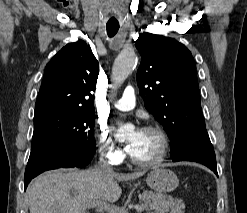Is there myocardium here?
Segmentation results:
<instances>
[{
  "mask_svg": "<svg viewBox=\"0 0 247 213\" xmlns=\"http://www.w3.org/2000/svg\"><path fill=\"white\" fill-rule=\"evenodd\" d=\"M143 131L152 132L159 136L160 141H161V147H160L159 153L155 158L151 160H147V161L139 160L135 158L134 156H132L131 153H129L130 161L133 164L141 166V167L157 166L165 160V158L167 157L169 153L170 139L167 133L165 132V130L159 126L150 125V126L145 127Z\"/></svg>",
  "mask_w": 247,
  "mask_h": 213,
  "instance_id": "obj_1",
  "label": "myocardium"
}]
</instances>
